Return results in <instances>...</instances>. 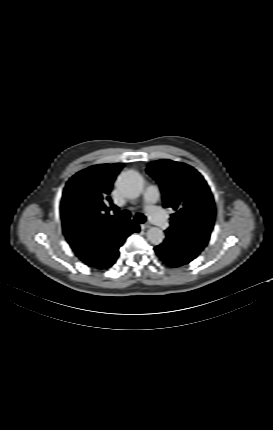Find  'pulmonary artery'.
<instances>
[{
    "instance_id": "pulmonary-artery-1",
    "label": "pulmonary artery",
    "mask_w": 273,
    "mask_h": 430,
    "mask_svg": "<svg viewBox=\"0 0 273 430\" xmlns=\"http://www.w3.org/2000/svg\"><path fill=\"white\" fill-rule=\"evenodd\" d=\"M160 198V191L156 185H149L143 196L145 210L151 220L161 229L168 227V221L163 211L156 205Z\"/></svg>"
}]
</instances>
